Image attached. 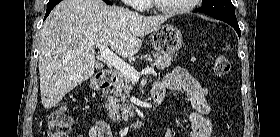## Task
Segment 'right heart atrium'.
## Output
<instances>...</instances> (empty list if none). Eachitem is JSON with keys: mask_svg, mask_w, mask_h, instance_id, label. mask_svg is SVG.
<instances>
[{"mask_svg": "<svg viewBox=\"0 0 280 137\" xmlns=\"http://www.w3.org/2000/svg\"><path fill=\"white\" fill-rule=\"evenodd\" d=\"M145 0H129V5L135 9L143 10L145 9Z\"/></svg>", "mask_w": 280, "mask_h": 137, "instance_id": "right-heart-atrium-1", "label": "right heart atrium"}]
</instances>
